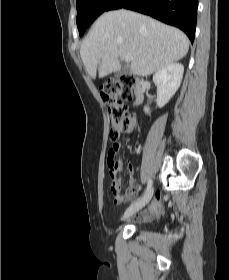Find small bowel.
<instances>
[{
	"mask_svg": "<svg viewBox=\"0 0 229 280\" xmlns=\"http://www.w3.org/2000/svg\"><path fill=\"white\" fill-rule=\"evenodd\" d=\"M123 169V163L121 159L115 161V165L110 168V189L113 195V202L116 205H121L124 202L134 198L140 191V186L134 183L133 168H128V187L121 193L120 192V179L119 174ZM162 213V206L159 196L155 197L151 204L145 210H142L136 217L138 221L147 220L154 216H158Z\"/></svg>",
	"mask_w": 229,
	"mask_h": 280,
	"instance_id": "c3829d8e",
	"label": "small bowel"
}]
</instances>
